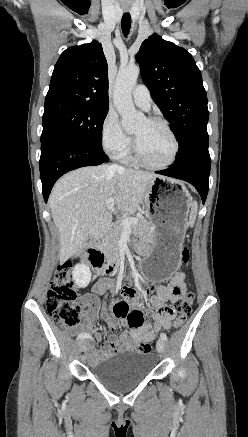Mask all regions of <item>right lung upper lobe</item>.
Listing matches in <instances>:
<instances>
[{"label": "right lung upper lobe", "instance_id": "cb5924a9", "mask_svg": "<svg viewBox=\"0 0 248 437\" xmlns=\"http://www.w3.org/2000/svg\"><path fill=\"white\" fill-rule=\"evenodd\" d=\"M59 99L109 108L108 66L99 42L73 46L61 54L45 101Z\"/></svg>", "mask_w": 248, "mask_h": 437}]
</instances>
